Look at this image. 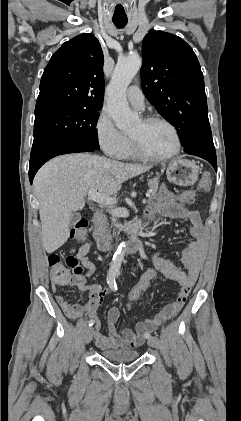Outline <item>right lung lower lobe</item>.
Wrapping results in <instances>:
<instances>
[{"label":"right lung lower lobe","instance_id":"98d812e1","mask_svg":"<svg viewBox=\"0 0 241 421\" xmlns=\"http://www.w3.org/2000/svg\"><path fill=\"white\" fill-rule=\"evenodd\" d=\"M92 146L83 143L65 142L48 145L31 151L29 164V179L32 184L33 178L38 169L51 158L68 153L92 152L95 151Z\"/></svg>","mask_w":241,"mask_h":421}]
</instances>
